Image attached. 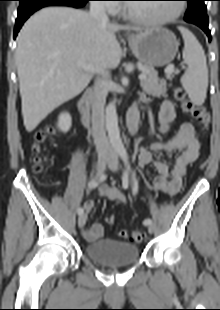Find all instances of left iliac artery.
Here are the masks:
<instances>
[{"instance_id": "44dca946", "label": "left iliac artery", "mask_w": 220, "mask_h": 310, "mask_svg": "<svg viewBox=\"0 0 220 310\" xmlns=\"http://www.w3.org/2000/svg\"><path fill=\"white\" fill-rule=\"evenodd\" d=\"M118 153H119L121 159L123 160V162L125 163V165L127 166V170L131 171L130 165H129V162H128L127 152H126V150H125V148L123 146L118 148ZM131 173H132V177H133V195H136L137 192H138V180L135 177V173L132 172V171H131ZM150 223H152V220L150 218H146L143 221L144 225H148Z\"/></svg>"}]
</instances>
